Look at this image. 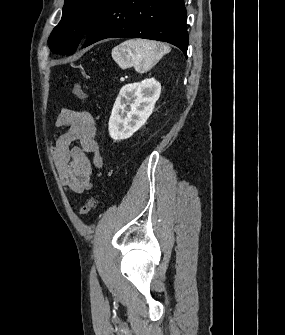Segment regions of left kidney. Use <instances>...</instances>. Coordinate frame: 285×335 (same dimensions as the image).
<instances>
[{
    "label": "left kidney",
    "instance_id": "obj_1",
    "mask_svg": "<svg viewBox=\"0 0 285 335\" xmlns=\"http://www.w3.org/2000/svg\"><path fill=\"white\" fill-rule=\"evenodd\" d=\"M160 94L161 84L155 78L123 86L109 120L108 130L111 138L113 140L131 138L151 116Z\"/></svg>",
    "mask_w": 285,
    "mask_h": 335
}]
</instances>
